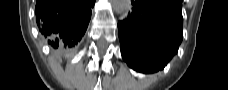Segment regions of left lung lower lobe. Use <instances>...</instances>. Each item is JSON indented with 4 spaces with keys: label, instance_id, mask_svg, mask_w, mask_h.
<instances>
[{
    "label": "left lung lower lobe",
    "instance_id": "left-lung-lower-lobe-1",
    "mask_svg": "<svg viewBox=\"0 0 228 90\" xmlns=\"http://www.w3.org/2000/svg\"><path fill=\"white\" fill-rule=\"evenodd\" d=\"M132 12L118 23L121 53L132 69H163L183 38L182 0H131Z\"/></svg>",
    "mask_w": 228,
    "mask_h": 90
}]
</instances>
